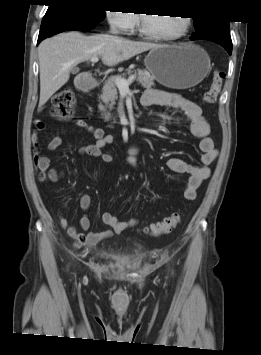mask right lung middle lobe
I'll return each instance as SVG.
<instances>
[{"instance_id": "right-lung-middle-lobe-1", "label": "right lung middle lobe", "mask_w": 261, "mask_h": 355, "mask_svg": "<svg viewBox=\"0 0 261 355\" xmlns=\"http://www.w3.org/2000/svg\"><path fill=\"white\" fill-rule=\"evenodd\" d=\"M92 0H77V1H65L55 4H51L49 9L57 7L69 10H74L89 19L100 22L105 18V11L95 5Z\"/></svg>"}]
</instances>
